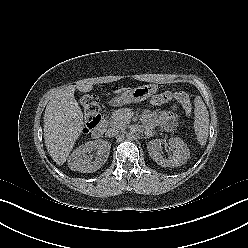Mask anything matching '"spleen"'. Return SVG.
Listing matches in <instances>:
<instances>
[{
  "mask_svg": "<svg viewBox=\"0 0 248 248\" xmlns=\"http://www.w3.org/2000/svg\"><path fill=\"white\" fill-rule=\"evenodd\" d=\"M195 109H194V129L197 136V141L201 146L206 144L209 131V114L206 109L204 102L200 96H196L195 100Z\"/></svg>",
  "mask_w": 248,
  "mask_h": 248,
  "instance_id": "1",
  "label": "spleen"
}]
</instances>
